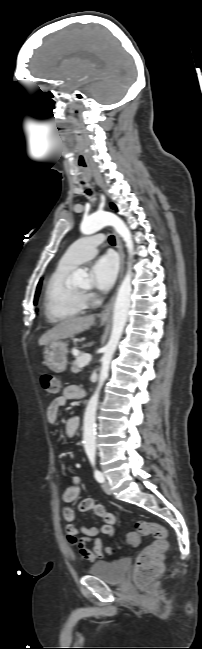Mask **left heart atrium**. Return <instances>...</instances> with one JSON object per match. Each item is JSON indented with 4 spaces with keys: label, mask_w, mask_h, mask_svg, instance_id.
I'll return each mask as SVG.
<instances>
[{
    "label": "left heart atrium",
    "mask_w": 202,
    "mask_h": 649,
    "mask_svg": "<svg viewBox=\"0 0 202 649\" xmlns=\"http://www.w3.org/2000/svg\"><path fill=\"white\" fill-rule=\"evenodd\" d=\"M118 273V261L113 254L99 257L91 267L93 286L101 291L109 290L115 282Z\"/></svg>",
    "instance_id": "left-heart-atrium-1"
}]
</instances>
